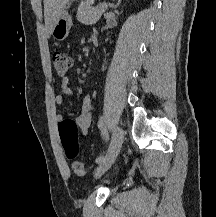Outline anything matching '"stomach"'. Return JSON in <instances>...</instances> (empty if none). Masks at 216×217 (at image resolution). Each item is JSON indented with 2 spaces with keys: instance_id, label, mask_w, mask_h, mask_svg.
<instances>
[{
  "instance_id": "0dacf381",
  "label": "stomach",
  "mask_w": 216,
  "mask_h": 217,
  "mask_svg": "<svg viewBox=\"0 0 216 217\" xmlns=\"http://www.w3.org/2000/svg\"><path fill=\"white\" fill-rule=\"evenodd\" d=\"M74 1H77V0H70L67 8L70 6L71 2H74ZM71 26H72V19L68 11L65 8L53 26V29L51 32L53 38L58 41H63L68 36Z\"/></svg>"
}]
</instances>
